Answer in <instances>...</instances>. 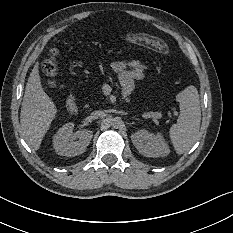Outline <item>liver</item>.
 I'll return each instance as SVG.
<instances>
[{
    "label": "liver",
    "mask_w": 233,
    "mask_h": 233,
    "mask_svg": "<svg viewBox=\"0 0 233 233\" xmlns=\"http://www.w3.org/2000/svg\"><path fill=\"white\" fill-rule=\"evenodd\" d=\"M56 113V105L42 87L39 62H36L25 86L20 111L24 138L35 150L39 149Z\"/></svg>",
    "instance_id": "obj_1"
}]
</instances>
